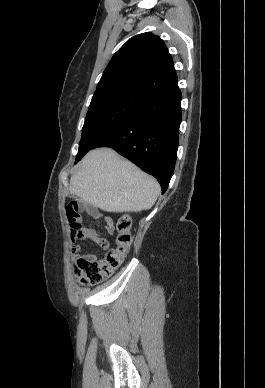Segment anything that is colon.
I'll use <instances>...</instances> for the list:
<instances>
[{
  "label": "colon",
  "mask_w": 265,
  "mask_h": 388,
  "mask_svg": "<svg viewBox=\"0 0 265 388\" xmlns=\"http://www.w3.org/2000/svg\"><path fill=\"white\" fill-rule=\"evenodd\" d=\"M66 215L71 226L72 240H82L88 237V230L79 221V205L77 201L66 204ZM117 235L115 246L110 248L99 260H89L78 257L73 269L82 285H96L111 276L126 257L132 244L133 220L128 215L121 216L116 224Z\"/></svg>",
  "instance_id": "colon-1"
}]
</instances>
